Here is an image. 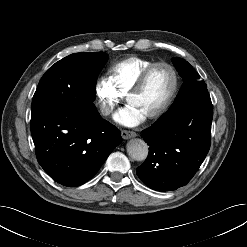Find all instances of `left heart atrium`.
<instances>
[{
  "label": "left heart atrium",
  "mask_w": 247,
  "mask_h": 247,
  "mask_svg": "<svg viewBox=\"0 0 247 247\" xmlns=\"http://www.w3.org/2000/svg\"><path fill=\"white\" fill-rule=\"evenodd\" d=\"M146 116L135 106L128 104L115 115V121L127 127H134L144 122Z\"/></svg>",
  "instance_id": "left-heart-atrium-1"
}]
</instances>
